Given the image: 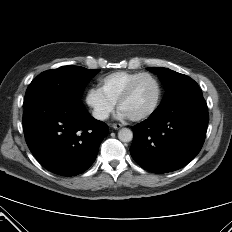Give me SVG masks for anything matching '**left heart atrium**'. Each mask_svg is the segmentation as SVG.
I'll return each instance as SVG.
<instances>
[{
  "mask_svg": "<svg viewBox=\"0 0 232 232\" xmlns=\"http://www.w3.org/2000/svg\"><path fill=\"white\" fill-rule=\"evenodd\" d=\"M117 117L121 118V119L129 118V116L124 111H122L121 109L118 111Z\"/></svg>",
  "mask_w": 232,
  "mask_h": 232,
  "instance_id": "left-heart-atrium-1",
  "label": "left heart atrium"
}]
</instances>
